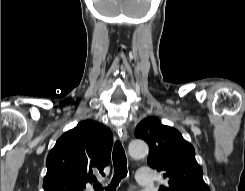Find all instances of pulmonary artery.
Listing matches in <instances>:
<instances>
[{"label": "pulmonary artery", "instance_id": "1", "mask_svg": "<svg viewBox=\"0 0 245 191\" xmlns=\"http://www.w3.org/2000/svg\"><path fill=\"white\" fill-rule=\"evenodd\" d=\"M136 181L140 186H148L153 182V172L149 167H142L137 170Z\"/></svg>", "mask_w": 245, "mask_h": 191}]
</instances>
